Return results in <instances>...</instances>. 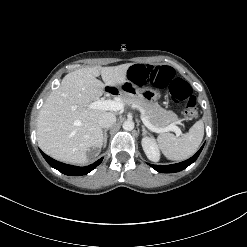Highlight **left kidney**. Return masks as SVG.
<instances>
[{
  "instance_id": "1",
  "label": "left kidney",
  "mask_w": 247,
  "mask_h": 247,
  "mask_svg": "<svg viewBox=\"0 0 247 247\" xmlns=\"http://www.w3.org/2000/svg\"><path fill=\"white\" fill-rule=\"evenodd\" d=\"M141 143L147 158L153 162H158L160 152L155 139L153 137H143Z\"/></svg>"
}]
</instances>
